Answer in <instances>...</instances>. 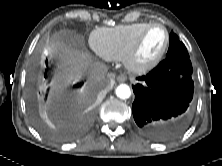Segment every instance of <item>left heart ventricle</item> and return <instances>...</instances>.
Instances as JSON below:
<instances>
[{
  "label": "left heart ventricle",
  "mask_w": 222,
  "mask_h": 166,
  "mask_svg": "<svg viewBox=\"0 0 222 166\" xmlns=\"http://www.w3.org/2000/svg\"><path fill=\"white\" fill-rule=\"evenodd\" d=\"M165 42V33L162 28L150 29L144 36L137 52V61L144 63L153 59L162 49Z\"/></svg>",
  "instance_id": "obj_1"
}]
</instances>
